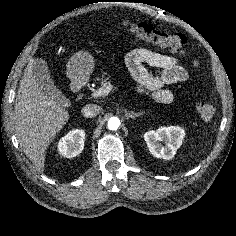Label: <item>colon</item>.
Returning <instances> with one entry per match:
<instances>
[{
  "label": "colon",
  "mask_w": 236,
  "mask_h": 236,
  "mask_svg": "<svg viewBox=\"0 0 236 236\" xmlns=\"http://www.w3.org/2000/svg\"><path fill=\"white\" fill-rule=\"evenodd\" d=\"M124 26L138 41L143 43L167 48L178 53H186L191 47L188 39L179 33L163 32L146 23L126 21ZM197 111L202 119L209 120L215 114V106L210 102L203 101L197 105Z\"/></svg>",
  "instance_id": "obj_1"
}]
</instances>
